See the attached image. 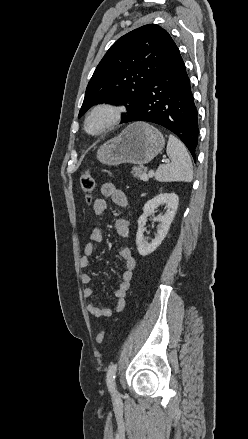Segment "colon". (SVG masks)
Wrapping results in <instances>:
<instances>
[{
	"mask_svg": "<svg viewBox=\"0 0 248 439\" xmlns=\"http://www.w3.org/2000/svg\"><path fill=\"white\" fill-rule=\"evenodd\" d=\"M80 187L84 193L85 201L91 203L93 199V191L95 187L94 178L89 170L83 172L80 176ZM106 332L101 330L96 336L98 344L102 345L105 342Z\"/></svg>",
	"mask_w": 248,
	"mask_h": 439,
	"instance_id": "obj_1",
	"label": "colon"
}]
</instances>
